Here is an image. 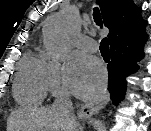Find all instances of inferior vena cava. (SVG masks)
Instances as JSON below:
<instances>
[{"mask_svg":"<svg viewBox=\"0 0 151 131\" xmlns=\"http://www.w3.org/2000/svg\"><path fill=\"white\" fill-rule=\"evenodd\" d=\"M101 99H102V101L105 100L104 97H101ZM53 106L60 109L65 114L66 119L70 122V126H71L70 130L74 131L76 124H75V121L71 114L72 102L69 98L68 92H63L60 95H58L56 97V100H55Z\"/></svg>","mask_w":151,"mask_h":131,"instance_id":"1","label":"inferior vena cava"}]
</instances>
